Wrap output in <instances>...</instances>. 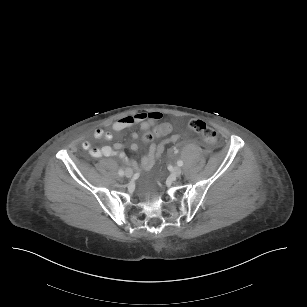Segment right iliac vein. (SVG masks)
I'll list each match as a JSON object with an SVG mask.
<instances>
[{
  "mask_svg": "<svg viewBox=\"0 0 307 307\" xmlns=\"http://www.w3.org/2000/svg\"><path fill=\"white\" fill-rule=\"evenodd\" d=\"M134 174L133 170L131 168H127L126 171H125V175L127 178H130L132 177Z\"/></svg>",
  "mask_w": 307,
  "mask_h": 307,
  "instance_id": "63e3f726",
  "label": "right iliac vein"
}]
</instances>
